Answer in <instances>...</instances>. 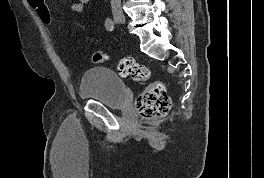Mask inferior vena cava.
Listing matches in <instances>:
<instances>
[{
	"label": "inferior vena cava",
	"instance_id": "1",
	"mask_svg": "<svg viewBox=\"0 0 264 178\" xmlns=\"http://www.w3.org/2000/svg\"><path fill=\"white\" fill-rule=\"evenodd\" d=\"M111 8L113 13H122L121 0H111Z\"/></svg>",
	"mask_w": 264,
	"mask_h": 178
}]
</instances>
